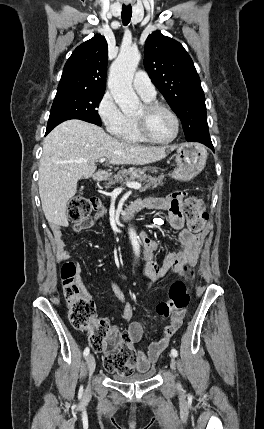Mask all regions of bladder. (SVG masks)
<instances>
[{"instance_id":"bladder-1","label":"bladder","mask_w":264,"mask_h":429,"mask_svg":"<svg viewBox=\"0 0 264 429\" xmlns=\"http://www.w3.org/2000/svg\"><path fill=\"white\" fill-rule=\"evenodd\" d=\"M155 375V369L151 368L144 373H134L130 375H115L114 380L120 383L143 382L152 379Z\"/></svg>"}]
</instances>
